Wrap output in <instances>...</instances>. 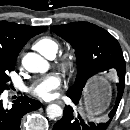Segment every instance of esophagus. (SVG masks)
Segmentation results:
<instances>
[{
	"label": "esophagus",
	"instance_id": "34e87169",
	"mask_svg": "<svg viewBox=\"0 0 130 130\" xmlns=\"http://www.w3.org/2000/svg\"><path fill=\"white\" fill-rule=\"evenodd\" d=\"M53 103H57L59 105H63V102L61 100H55V101H53Z\"/></svg>",
	"mask_w": 130,
	"mask_h": 130
}]
</instances>
